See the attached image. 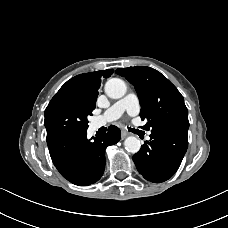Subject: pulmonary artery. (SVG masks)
Here are the masks:
<instances>
[{
	"label": "pulmonary artery",
	"mask_w": 228,
	"mask_h": 228,
	"mask_svg": "<svg viewBox=\"0 0 228 228\" xmlns=\"http://www.w3.org/2000/svg\"><path fill=\"white\" fill-rule=\"evenodd\" d=\"M139 111L140 104L137 95L134 93H129L124 98L118 100L110 108H108L99 118L96 126H101L106 122L116 120L125 112L130 116H136ZM146 140H150L149 134L146 136Z\"/></svg>",
	"instance_id": "e3ab8cb5"
}]
</instances>
